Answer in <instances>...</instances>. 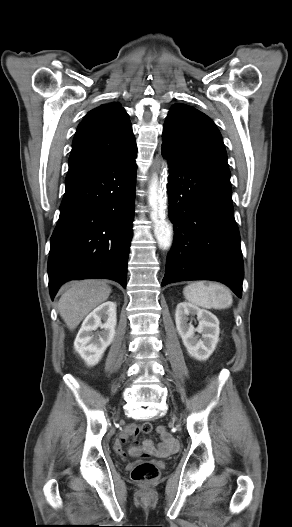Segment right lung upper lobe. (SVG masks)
I'll return each instance as SVG.
<instances>
[{"mask_svg":"<svg viewBox=\"0 0 292 527\" xmlns=\"http://www.w3.org/2000/svg\"><path fill=\"white\" fill-rule=\"evenodd\" d=\"M137 151L132 126L119 103L91 110L79 124L69 165L97 163L126 157Z\"/></svg>","mask_w":292,"mask_h":527,"instance_id":"right-lung-upper-lobe-1","label":"right lung upper lobe"}]
</instances>
